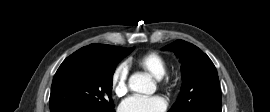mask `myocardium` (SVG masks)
I'll use <instances>...</instances> for the list:
<instances>
[{
  "label": "myocardium",
  "instance_id": "myocardium-1",
  "mask_svg": "<svg viewBox=\"0 0 270 112\" xmlns=\"http://www.w3.org/2000/svg\"><path fill=\"white\" fill-rule=\"evenodd\" d=\"M159 80L162 88L170 92L177 86L180 80V75L178 71H175L171 74L165 73L164 76Z\"/></svg>",
  "mask_w": 270,
  "mask_h": 112
}]
</instances>
